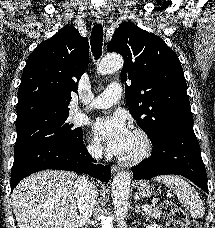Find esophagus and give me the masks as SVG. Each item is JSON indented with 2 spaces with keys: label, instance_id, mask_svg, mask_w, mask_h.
I'll use <instances>...</instances> for the list:
<instances>
[{
  "label": "esophagus",
  "instance_id": "34e87169",
  "mask_svg": "<svg viewBox=\"0 0 215 228\" xmlns=\"http://www.w3.org/2000/svg\"><path fill=\"white\" fill-rule=\"evenodd\" d=\"M94 18H95V20H96L97 23H102L103 22L104 15L103 14H95L94 15ZM111 171L117 172L118 169H117L116 166H112L111 167Z\"/></svg>",
  "mask_w": 215,
  "mask_h": 228
}]
</instances>
